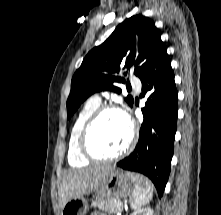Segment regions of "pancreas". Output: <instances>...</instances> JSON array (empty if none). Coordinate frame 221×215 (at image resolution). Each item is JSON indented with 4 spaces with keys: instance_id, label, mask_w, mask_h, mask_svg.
<instances>
[{
    "instance_id": "cf45deb5",
    "label": "pancreas",
    "mask_w": 221,
    "mask_h": 215,
    "mask_svg": "<svg viewBox=\"0 0 221 215\" xmlns=\"http://www.w3.org/2000/svg\"><path fill=\"white\" fill-rule=\"evenodd\" d=\"M93 207H98L100 210L117 213L122 210V202L118 198H107L105 200H99L92 203Z\"/></svg>"
}]
</instances>
